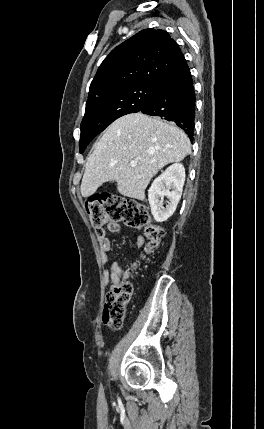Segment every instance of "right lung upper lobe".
<instances>
[{
  "instance_id": "cb5924a9",
  "label": "right lung upper lobe",
  "mask_w": 264,
  "mask_h": 429,
  "mask_svg": "<svg viewBox=\"0 0 264 429\" xmlns=\"http://www.w3.org/2000/svg\"><path fill=\"white\" fill-rule=\"evenodd\" d=\"M183 58L166 31L142 30L112 50L101 63L87 102L136 84L157 85Z\"/></svg>"
}]
</instances>
